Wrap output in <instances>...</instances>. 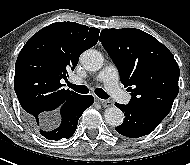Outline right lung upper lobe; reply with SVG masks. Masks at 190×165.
<instances>
[{"mask_svg":"<svg viewBox=\"0 0 190 165\" xmlns=\"http://www.w3.org/2000/svg\"><path fill=\"white\" fill-rule=\"evenodd\" d=\"M100 30L75 22H57L34 34L15 64L14 88L25 114L36 120L53 114L79 94L61 79L74 70L80 54L98 42Z\"/></svg>","mask_w":190,"mask_h":165,"instance_id":"1","label":"right lung upper lobe"}]
</instances>
